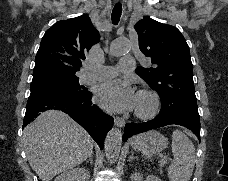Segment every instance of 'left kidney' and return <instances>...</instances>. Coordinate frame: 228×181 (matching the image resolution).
I'll use <instances>...</instances> for the list:
<instances>
[{
  "instance_id": "1",
  "label": "left kidney",
  "mask_w": 228,
  "mask_h": 181,
  "mask_svg": "<svg viewBox=\"0 0 228 181\" xmlns=\"http://www.w3.org/2000/svg\"><path fill=\"white\" fill-rule=\"evenodd\" d=\"M131 181H143V175L141 173H135V175H131ZM146 181H160V179L154 177V175H148Z\"/></svg>"
}]
</instances>
